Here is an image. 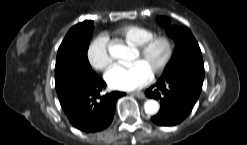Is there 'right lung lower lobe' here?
<instances>
[{
    "label": "right lung lower lobe",
    "instance_id": "obj_1",
    "mask_svg": "<svg viewBox=\"0 0 247 145\" xmlns=\"http://www.w3.org/2000/svg\"><path fill=\"white\" fill-rule=\"evenodd\" d=\"M105 86L98 75L75 76L56 84L62 108L74 127L89 133L111 124L116 101L125 93L112 92L101 97L99 91Z\"/></svg>",
    "mask_w": 247,
    "mask_h": 145
}]
</instances>
